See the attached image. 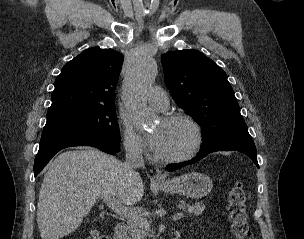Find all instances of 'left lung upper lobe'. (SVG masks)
<instances>
[{
  "mask_svg": "<svg viewBox=\"0 0 304 239\" xmlns=\"http://www.w3.org/2000/svg\"><path fill=\"white\" fill-rule=\"evenodd\" d=\"M165 83L176 103L201 125L203 148L252 141L226 73L197 50L161 56Z\"/></svg>",
  "mask_w": 304,
  "mask_h": 239,
  "instance_id": "1",
  "label": "left lung upper lobe"
}]
</instances>
